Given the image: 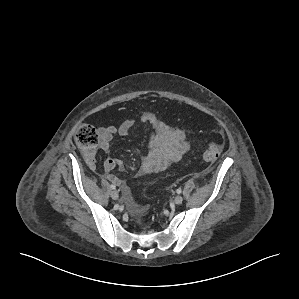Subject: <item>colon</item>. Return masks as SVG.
Listing matches in <instances>:
<instances>
[{"label":"colon","mask_w":299,"mask_h":299,"mask_svg":"<svg viewBox=\"0 0 299 299\" xmlns=\"http://www.w3.org/2000/svg\"><path fill=\"white\" fill-rule=\"evenodd\" d=\"M75 141L90 163L94 162L95 152L99 143V135L94 127L88 124L80 125L75 133ZM223 150L222 143H212L203 152V158L208 161L216 159Z\"/></svg>","instance_id":"1"}]
</instances>
